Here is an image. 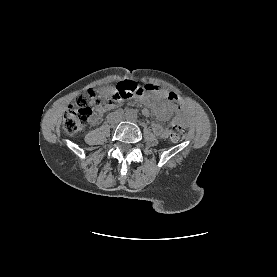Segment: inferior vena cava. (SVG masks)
I'll return each instance as SVG.
<instances>
[{
  "label": "inferior vena cava",
  "instance_id": "602c4592",
  "mask_svg": "<svg viewBox=\"0 0 277 277\" xmlns=\"http://www.w3.org/2000/svg\"><path fill=\"white\" fill-rule=\"evenodd\" d=\"M119 121H120V118H116V119H115V122H119Z\"/></svg>",
  "mask_w": 277,
  "mask_h": 277
}]
</instances>
